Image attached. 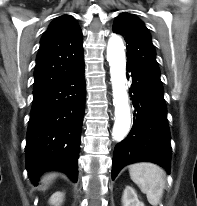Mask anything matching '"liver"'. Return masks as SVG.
I'll use <instances>...</instances> for the list:
<instances>
[{
  "instance_id": "6515ba94",
  "label": "liver",
  "mask_w": 197,
  "mask_h": 206,
  "mask_svg": "<svg viewBox=\"0 0 197 206\" xmlns=\"http://www.w3.org/2000/svg\"><path fill=\"white\" fill-rule=\"evenodd\" d=\"M54 178H55V174L54 173L46 174V175H44L42 177L41 182H42V184H44L43 190L46 189V185L51 183Z\"/></svg>"
}]
</instances>
